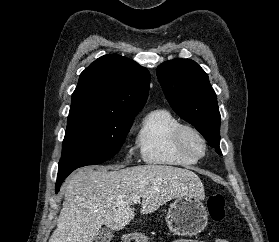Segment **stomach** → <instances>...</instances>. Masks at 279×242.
Returning a JSON list of instances; mask_svg holds the SVG:
<instances>
[{
	"mask_svg": "<svg viewBox=\"0 0 279 242\" xmlns=\"http://www.w3.org/2000/svg\"><path fill=\"white\" fill-rule=\"evenodd\" d=\"M166 223L169 230L178 236H194L201 233L208 223V213L199 198L193 196L178 197L170 205ZM136 242H147L141 234L134 235Z\"/></svg>",
	"mask_w": 279,
	"mask_h": 242,
	"instance_id": "1",
	"label": "stomach"
}]
</instances>
